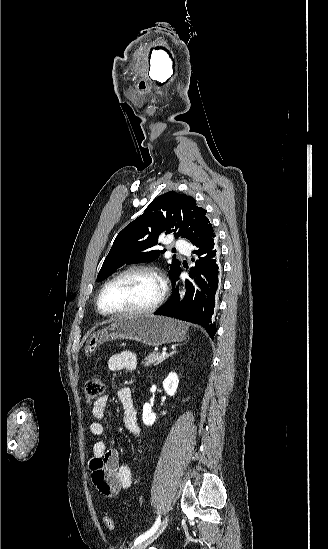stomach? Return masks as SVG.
Wrapping results in <instances>:
<instances>
[{
  "instance_id": "obj_1",
  "label": "stomach",
  "mask_w": 328,
  "mask_h": 549,
  "mask_svg": "<svg viewBox=\"0 0 328 549\" xmlns=\"http://www.w3.org/2000/svg\"><path fill=\"white\" fill-rule=\"evenodd\" d=\"M187 333L188 327L183 321L149 313H132L114 319L105 329L89 335L84 353L86 357H93L100 345L117 339H131L150 347H158L165 343H181L185 341Z\"/></svg>"
}]
</instances>
